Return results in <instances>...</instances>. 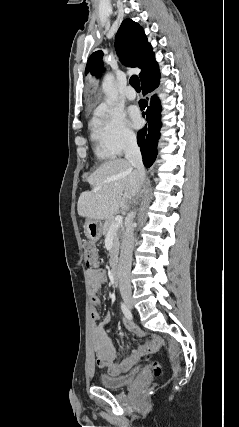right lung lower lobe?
Wrapping results in <instances>:
<instances>
[{
	"label": "right lung lower lobe",
	"instance_id": "obj_1",
	"mask_svg": "<svg viewBox=\"0 0 239 427\" xmlns=\"http://www.w3.org/2000/svg\"><path fill=\"white\" fill-rule=\"evenodd\" d=\"M160 79V73L141 82L142 93L147 94L157 88ZM141 110L143 117H146L148 124L137 134V142L140 147L143 163L146 167H150L157 155V143L160 136L161 128L160 111L161 106L159 99L154 95L151 98L150 106L147 100H141Z\"/></svg>",
	"mask_w": 239,
	"mask_h": 427
}]
</instances>
